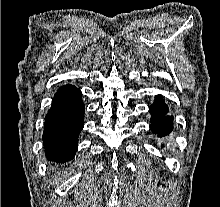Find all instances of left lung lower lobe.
Listing matches in <instances>:
<instances>
[{
	"label": "left lung lower lobe",
	"instance_id": "obj_1",
	"mask_svg": "<svg viewBox=\"0 0 220 207\" xmlns=\"http://www.w3.org/2000/svg\"><path fill=\"white\" fill-rule=\"evenodd\" d=\"M149 111L151 113V129L154 133L163 137L168 135L172 130L173 117L167 116L168 107L161 99V96L157 97L155 103H153Z\"/></svg>",
	"mask_w": 220,
	"mask_h": 207
}]
</instances>
